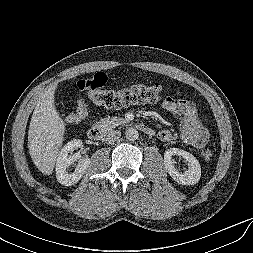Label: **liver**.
<instances>
[{
  "label": "liver",
  "mask_w": 253,
  "mask_h": 253,
  "mask_svg": "<svg viewBox=\"0 0 253 253\" xmlns=\"http://www.w3.org/2000/svg\"><path fill=\"white\" fill-rule=\"evenodd\" d=\"M56 88L57 84L51 85L41 94L28 131L29 154L35 166L45 175L54 170L66 131L54 104Z\"/></svg>",
  "instance_id": "1"
}]
</instances>
